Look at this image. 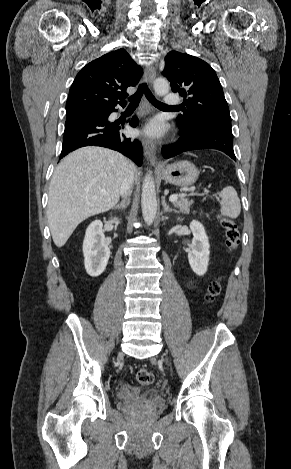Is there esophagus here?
I'll return each instance as SVG.
<instances>
[{
  "instance_id": "obj_1",
  "label": "esophagus",
  "mask_w": 291,
  "mask_h": 469,
  "mask_svg": "<svg viewBox=\"0 0 291 469\" xmlns=\"http://www.w3.org/2000/svg\"><path fill=\"white\" fill-rule=\"evenodd\" d=\"M155 76H156L155 66L151 65L146 69L145 74H144V78L149 84V86H152ZM144 103L147 107V102L145 101ZM140 140L143 145L144 153L146 157L150 160H153V163L157 165V162L155 160V152H156L155 144L144 136H142Z\"/></svg>"
}]
</instances>
